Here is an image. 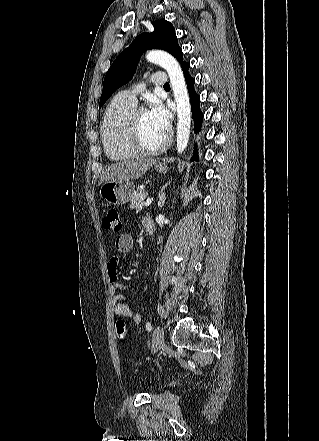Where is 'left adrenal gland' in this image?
<instances>
[{
    "mask_svg": "<svg viewBox=\"0 0 319 441\" xmlns=\"http://www.w3.org/2000/svg\"><path fill=\"white\" fill-rule=\"evenodd\" d=\"M166 187H167V184L165 186H163V188L161 190V194H160V197H159V203H158L160 208H162L164 206V204H165L166 197H165L164 190H165Z\"/></svg>",
    "mask_w": 319,
    "mask_h": 441,
    "instance_id": "obj_1",
    "label": "left adrenal gland"
}]
</instances>
